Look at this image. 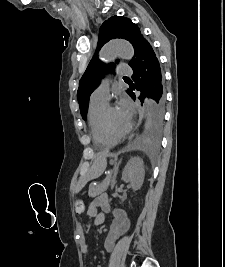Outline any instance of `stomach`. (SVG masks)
Masks as SVG:
<instances>
[{
	"label": "stomach",
	"instance_id": "stomach-1",
	"mask_svg": "<svg viewBox=\"0 0 225 267\" xmlns=\"http://www.w3.org/2000/svg\"><path fill=\"white\" fill-rule=\"evenodd\" d=\"M104 161H106V158H105ZM100 167H102V163L98 164V169H99Z\"/></svg>",
	"mask_w": 225,
	"mask_h": 267
}]
</instances>
